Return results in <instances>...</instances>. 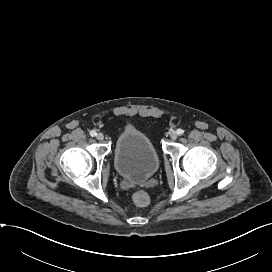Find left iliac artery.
I'll return each mask as SVG.
<instances>
[{
	"mask_svg": "<svg viewBox=\"0 0 272 272\" xmlns=\"http://www.w3.org/2000/svg\"><path fill=\"white\" fill-rule=\"evenodd\" d=\"M176 133H177L178 135H182V134L184 133V131H183L182 129H177Z\"/></svg>",
	"mask_w": 272,
	"mask_h": 272,
	"instance_id": "44dca946",
	"label": "left iliac artery"
}]
</instances>
